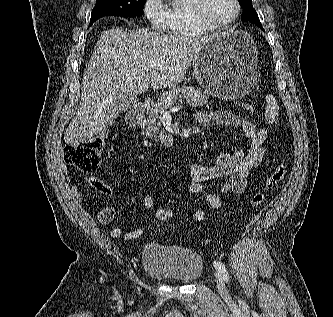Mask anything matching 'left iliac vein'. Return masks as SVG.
I'll use <instances>...</instances> for the list:
<instances>
[{"mask_svg": "<svg viewBox=\"0 0 333 317\" xmlns=\"http://www.w3.org/2000/svg\"><path fill=\"white\" fill-rule=\"evenodd\" d=\"M215 281H216L217 288H218V291H219L220 295L223 298H227L229 296V293H228V290L226 288L224 279H223V277L221 276L220 273L215 274Z\"/></svg>", "mask_w": 333, "mask_h": 317, "instance_id": "1", "label": "left iliac vein"}]
</instances>
